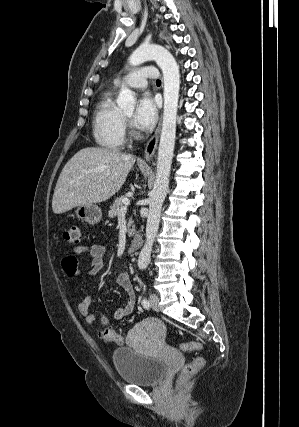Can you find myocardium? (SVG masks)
Returning <instances> with one entry per match:
<instances>
[{"instance_id":"myocardium-1","label":"myocardium","mask_w":299,"mask_h":427,"mask_svg":"<svg viewBox=\"0 0 299 427\" xmlns=\"http://www.w3.org/2000/svg\"><path fill=\"white\" fill-rule=\"evenodd\" d=\"M123 120H126V117L123 116Z\"/></svg>"}]
</instances>
